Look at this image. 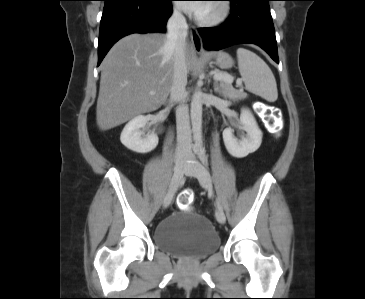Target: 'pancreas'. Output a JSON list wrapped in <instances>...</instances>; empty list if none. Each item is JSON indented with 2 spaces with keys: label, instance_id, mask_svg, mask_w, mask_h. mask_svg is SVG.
Masks as SVG:
<instances>
[{
  "label": "pancreas",
  "instance_id": "1",
  "mask_svg": "<svg viewBox=\"0 0 365 299\" xmlns=\"http://www.w3.org/2000/svg\"><path fill=\"white\" fill-rule=\"evenodd\" d=\"M217 74H222V75H228L227 73H223V72H216ZM220 88L222 90V93L225 97H229L230 99L233 100H239V99H244L247 97V94L242 92V91H238L235 90L231 83L226 82V81H220Z\"/></svg>",
  "mask_w": 365,
  "mask_h": 299
}]
</instances>
